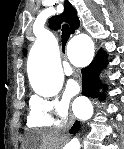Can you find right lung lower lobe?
<instances>
[{
    "mask_svg": "<svg viewBox=\"0 0 124 149\" xmlns=\"http://www.w3.org/2000/svg\"><path fill=\"white\" fill-rule=\"evenodd\" d=\"M79 129H80V123H79V121H76L74 123V125L72 126V128L69 130V132L71 134H75V133H77L79 131Z\"/></svg>",
    "mask_w": 124,
    "mask_h": 149,
    "instance_id": "right-lung-lower-lobe-1",
    "label": "right lung lower lobe"
}]
</instances>
